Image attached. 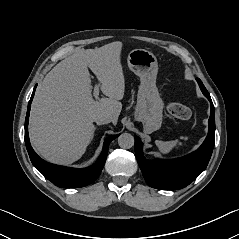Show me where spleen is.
I'll return each mask as SVG.
<instances>
[{
	"label": "spleen",
	"instance_id": "1",
	"mask_svg": "<svg viewBox=\"0 0 239 239\" xmlns=\"http://www.w3.org/2000/svg\"><path fill=\"white\" fill-rule=\"evenodd\" d=\"M182 139L187 140V137H183ZM156 145L158 146L159 150L163 154H168L172 151L173 148L177 147V145H181L179 140H172V141H156Z\"/></svg>",
	"mask_w": 239,
	"mask_h": 239
}]
</instances>
